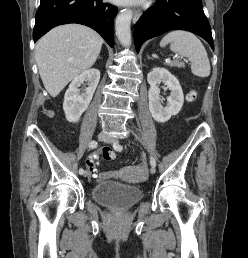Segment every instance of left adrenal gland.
<instances>
[{
	"label": "left adrenal gland",
	"instance_id": "1",
	"mask_svg": "<svg viewBox=\"0 0 248 258\" xmlns=\"http://www.w3.org/2000/svg\"><path fill=\"white\" fill-rule=\"evenodd\" d=\"M148 59H152L151 57L147 56Z\"/></svg>",
	"mask_w": 248,
	"mask_h": 258
}]
</instances>
